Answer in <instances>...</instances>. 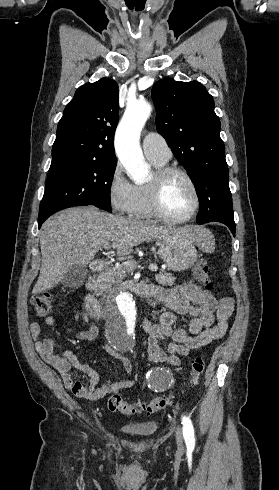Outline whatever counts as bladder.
Segmentation results:
<instances>
[{"instance_id":"obj_1","label":"bladder","mask_w":279,"mask_h":490,"mask_svg":"<svg viewBox=\"0 0 279 490\" xmlns=\"http://www.w3.org/2000/svg\"><path fill=\"white\" fill-rule=\"evenodd\" d=\"M124 431L128 432L130 436L133 437H149L155 434L157 430L156 421H141L135 422L128 427L123 428Z\"/></svg>"}]
</instances>
